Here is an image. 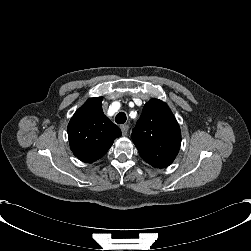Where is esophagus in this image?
<instances>
[{
  "mask_svg": "<svg viewBox=\"0 0 251 251\" xmlns=\"http://www.w3.org/2000/svg\"><path fill=\"white\" fill-rule=\"evenodd\" d=\"M120 129H121V131H122V134L125 136V135H127V133H128L129 126H128L127 124L121 125V126H120Z\"/></svg>",
  "mask_w": 251,
  "mask_h": 251,
  "instance_id": "1",
  "label": "esophagus"
}]
</instances>
